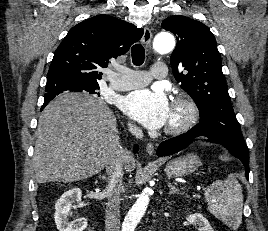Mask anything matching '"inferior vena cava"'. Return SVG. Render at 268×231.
<instances>
[{
  "label": "inferior vena cava",
  "instance_id": "inferior-vena-cava-1",
  "mask_svg": "<svg viewBox=\"0 0 268 231\" xmlns=\"http://www.w3.org/2000/svg\"><path fill=\"white\" fill-rule=\"evenodd\" d=\"M129 130L139 137L142 131L135 125L129 124ZM132 155L127 150H122L112 156L106 165L108 175L107 207L105 213V231H120V193L123 183V164L132 161Z\"/></svg>",
  "mask_w": 268,
  "mask_h": 231
}]
</instances>
